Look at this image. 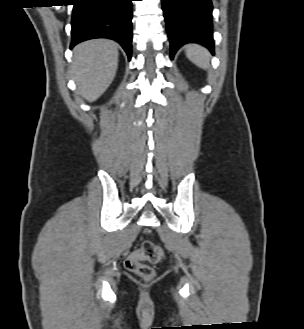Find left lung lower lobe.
Wrapping results in <instances>:
<instances>
[{"instance_id": "1", "label": "left lung lower lobe", "mask_w": 304, "mask_h": 329, "mask_svg": "<svg viewBox=\"0 0 304 329\" xmlns=\"http://www.w3.org/2000/svg\"><path fill=\"white\" fill-rule=\"evenodd\" d=\"M170 39V57L186 43H198L214 53L211 0H161Z\"/></svg>"}]
</instances>
